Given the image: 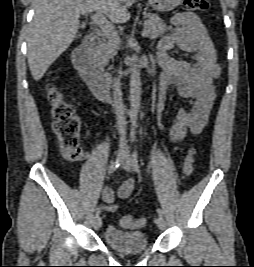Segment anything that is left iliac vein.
<instances>
[{"label":"left iliac vein","instance_id":"obj_1","mask_svg":"<svg viewBox=\"0 0 254 267\" xmlns=\"http://www.w3.org/2000/svg\"><path fill=\"white\" fill-rule=\"evenodd\" d=\"M121 164L124 170L130 171L132 168V160L129 155V151L127 148L123 149L122 155H121ZM156 225L160 230H165L166 229V221L162 216H158L155 220Z\"/></svg>","mask_w":254,"mask_h":267}]
</instances>
